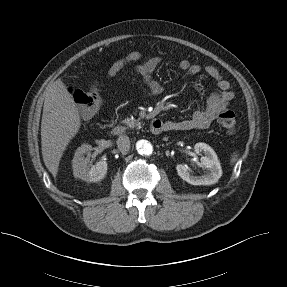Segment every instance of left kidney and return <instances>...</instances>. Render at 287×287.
<instances>
[{"label":"left kidney","mask_w":287,"mask_h":287,"mask_svg":"<svg viewBox=\"0 0 287 287\" xmlns=\"http://www.w3.org/2000/svg\"><path fill=\"white\" fill-rule=\"evenodd\" d=\"M194 151L199 154L203 153L201 157V164L208 172L202 176H194L190 173L187 165L178 164L176 170L178 175L191 185H213L218 182L222 176V169L215 151L206 143H196Z\"/></svg>","instance_id":"1"}]
</instances>
